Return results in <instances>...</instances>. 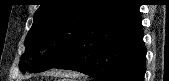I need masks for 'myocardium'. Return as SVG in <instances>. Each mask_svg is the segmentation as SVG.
Returning <instances> with one entry per match:
<instances>
[{
	"mask_svg": "<svg viewBox=\"0 0 169 81\" xmlns=\"http://www.w3.org/2000/svg\"><path fill=\"white\" fill-rule=\"evenodd\" d=\"M52 46L49 44H44L39 48V54L41 56H46L50 53Z\"/></svg>",
	"mask_w": 169,
	"mask_h": 81,
	"instance_id": "f54148a6",
	"label": "myocardium"
}]
</instances>
